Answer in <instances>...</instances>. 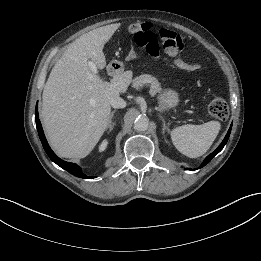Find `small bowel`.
I'll return each instance as SVG.
<instances>
[{"mask_svg":"<svg viewBox=\"0 0 261 261\" xmlns=\"http://www.w3.org/2000/svg\"><path fill=\"white\" fill-rule=\"evenodd\" d=\"M167 31H169V30H167ZM128 57H129V59H137L138 58V56H137V54L135 53L134 50H130V52L128 53Z\"/></svg>","mask_w":261,"mask_h":261,"instance_id":"obj_1","label":"small bowel"}]
</instances>
